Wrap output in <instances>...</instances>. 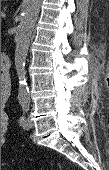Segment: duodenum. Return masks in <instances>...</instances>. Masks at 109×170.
I'll list each match as a JSON object with an SVG mask.
<instances>
[{
    "instance_id": "obj_1",
    "label": "duodenum",
    "mask_w": 109,
    "mask_h": 170,
    "mask_svg": "<svg viewBox=\"0 0 109 170\" xmlns=\"http://www.w3.org/2000/svg\"><path fill=\"white\" fill-rule=\"evenodd\" d=\"M8 63H9V59H8L7 56H5V57H3V58L1 59V68H2L4 74H5L6 71H7ZM2 85H3V88H4V89H7L8 86H9V79L6 78V77H4V79H3V84H2Z\"/></svg>"
}]
</instances>
